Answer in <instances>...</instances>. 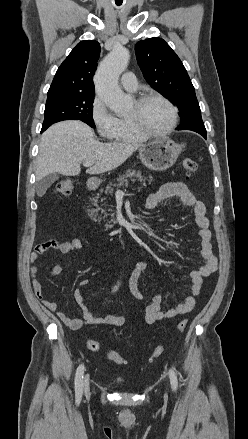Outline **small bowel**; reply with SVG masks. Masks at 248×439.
Listing matches in <instances>:
<instances>
[{
	"label": "small bowel",
	"instance_id": "small-bowel-1",
	"mask_svg": "<svg viewBox=\"0 0 248 439\" xmlns=\"http://www.w3.org/2000/svg\"><path fill=\"white\" fill-rule=\"evenodd\" d=\"M179 198L181 203L190 208L194 214V224L199 229L198 236L200 240V253L203 259V264L200 268L191 272V289L189 295L183 302L177 304L174 308L167 311L161 310L162 296L155 294L148 299V304L145 310L144 321L147 324L155 323L163 319L173 318L179 315L190 312L195 304L196 297L199 295L204 279L209 277L217 270V258L212 250V234L209 229V219L206 216V206L188 189L187 185L183 182H171L166 183L159 188V190L151 194L146 201L145 208L153 209L160 202L170 199ZM85 248V244L78 240L73 239L63 243H44L36 246L30 255V262L35 263L39 257L49 249H55L60 258L67 256L71 251ZM148 263L146 261H140L131 273L129 280V288L131 293L139 300H145L147 297L139 288V279L141 275L147 270ZM32 288L36 297L52 312L60 318V320L69 328L77 330L83 326L103 324L108 326H124L126 320L124 317L111 314L104 317L95 316L89 307L84 303L81 288L85 287L88 283V279H82L78 282L73 291V298L76 304L79 306L82 312V318H71L67 316L59 307L58 303L45 297L42 291V285L37 278V267L32 266ZM63 271V265L59 261L51 269V273L54 276L61 274Z\"/></svg>",
	"mask_w": 248,
	"mask_h": 439
}]
</instances>
